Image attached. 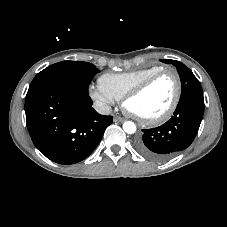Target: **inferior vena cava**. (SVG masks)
I'll return each mask as SVG.
<instances>
[{"label":"inferior vena cava","mask_w":227,"mask_h":227,"mask_svg":"<svg viewBox=\"0 0 227 227\" xmlns=\"http://www.w3.org/2000/svg\"><path fill=\"white\" fill-rule=\"evenodd\" d=\"M95 109L98 113L103 115H109L112 112V108L106 104L96 105Z\"/></svg>","instance_id":"obj_1"}]
</instances>
